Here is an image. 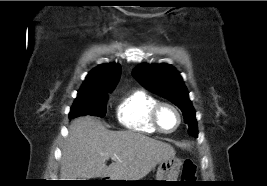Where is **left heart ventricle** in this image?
Returning a JSON list of instances; mask_svg holds the SVG:
<instances>
[{"mask_svg":"<svg viewBox=\"0 0 267 186\" xmlns=\"http://www.w3.org/2000/svg\"><path fill=\"white\" fill-rule=\"evenodd\" d=\"M177 121V115L172 108L165 106L160 110L159 122L164 130H172L176 126Z\"/></svg>","mask_w":267,"mask_h":186,"instance_id":"obj_1","label":"left heart ventricle"}]
</instances>
